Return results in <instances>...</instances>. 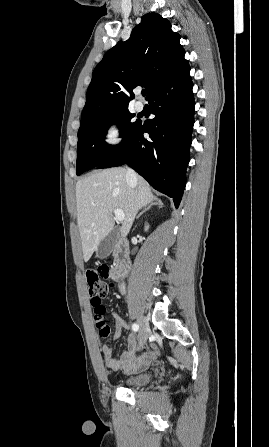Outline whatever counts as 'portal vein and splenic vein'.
<instances>
[{
	"label": "portal vein and splenic vein",
	"mask_w": 269,
	"mask_h": 447,
	"mask_svg": "<svg viewBox=\"0 0 269 447\" xmlns=\"http://www.w3.org/2000/svg\"><path fill=\"white\" fill-rule=\"evenodd\" d=\"M114 214L118 220V222H123L125 220V214L123 210H114Z\"/></svg>",
	"instance_id": "1"
}]
</instances>
